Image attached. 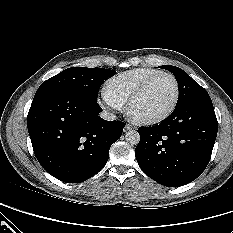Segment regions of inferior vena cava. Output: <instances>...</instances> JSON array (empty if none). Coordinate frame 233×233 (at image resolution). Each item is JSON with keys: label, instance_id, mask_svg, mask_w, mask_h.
Instances as JSON below:
<instances>
[{"label": "inferior vena cava", "instance_id": "obj_1", "mask_svg": "<svg viewBox=\"0 0 233 233\" xmlns=\"http://www.w3.org/2000/svg\"><path fill=\"white\" fill-rule=\"evenodd\" d=\"M100 117L105 119V120H108V121H111V120H115L116 119V116L109 112V111H103L100 113Z\"/></svg>", "mask_w": 233, "mask_h": 233}]
</instances>
